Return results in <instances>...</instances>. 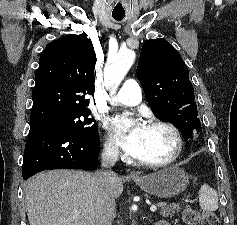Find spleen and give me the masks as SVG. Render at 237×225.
Returning <instances> with one entry per match:
<instances>
[{
  "mask_svg": "<svg viewBox=\"0 0 237 225\" xmlns=\"http://www.w3.org/2000/svg\"><path fill=\"white\" fill-rule=\"evenodd\" d=\"M199 205L203 211L213 212L218 209V194L209 185L204 184L199 190Z\"/></svg>",
  "mask_w": 237,
  "mask_h": 225,
  "instance_id": "3e777b00",
  "label": "spleen"
}]
</instances>
